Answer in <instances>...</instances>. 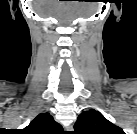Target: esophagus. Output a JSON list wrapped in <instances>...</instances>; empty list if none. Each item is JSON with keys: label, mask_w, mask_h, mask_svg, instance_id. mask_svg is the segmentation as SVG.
<instances>
[{"label": "esophagus", "mask_w": 137, "mask_h": 134, "mask_svg": "<svg viewBox=\"0 0 137 134\" xmlns=\"http://www.w3.org/2000/svg\"><path fill=\"white\" fill-rule=\"evenodd\" d=\"M67 129H68L69 131H71V130H73V127H72V126H68Z\"/></svg>", "instance_id": "obj_1"}]
</instances>
